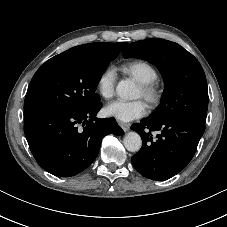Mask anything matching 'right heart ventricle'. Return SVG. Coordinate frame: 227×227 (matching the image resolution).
I'll return each mask as SVG.
<instances>
[{
	"mask_svg": "<svg viewBox=\"0 0 227 227\" xmlns=\"http://www.w3.org/2000/svg\"><path fill=\"white\" fill-rule=\"evenodd\" d=\"M120 70L139 84L151 83L158 78L156 68L142 59L128 60L121 64Z\"/></svg>",
	"mask_w": 227,
	"mask_h": 227,
	"instance_id": "e07e8e85",
	"label": "right heart ventricle"
}]
</instances>
